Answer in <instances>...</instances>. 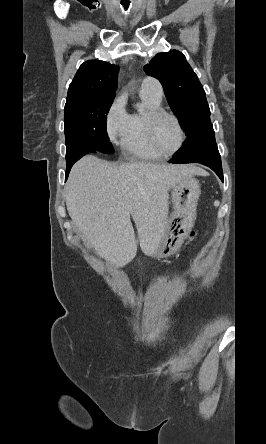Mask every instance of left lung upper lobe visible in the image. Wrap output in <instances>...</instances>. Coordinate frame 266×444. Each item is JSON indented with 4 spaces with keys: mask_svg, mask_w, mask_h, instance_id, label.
Segmentation results:
<instances>
[{
    "mask_svg": "<svg viewBox=\"0 0 266 444\" xmlns=\"http://www.w3.org/2000/svg\"><path fill=\"white\" fill-rule=\"evenodd\" d=\"M144 70L161 82L167 101L188 137L211 123L203 86L181 52L159 53Z\"/></svg>",
    "mask_w": 266,
    "mask_h": 444,
    "instance_id": "1",
    "label": "left lung upper lobe"
}]
</instances>
